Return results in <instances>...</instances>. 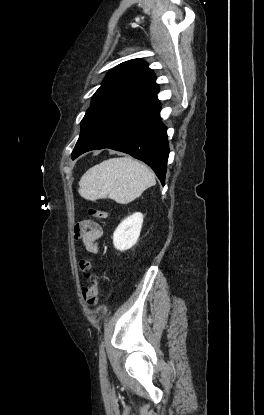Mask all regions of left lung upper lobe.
<instances>
[{
    "instance_id": "left-lung-upper-lobe-1",
    "label": "left lung upper lobe",
    "mask_w": 264,
    "mask_h": 415,
    "mask_svg": "<svg viewBox=\"0 0 264 415\" xmlns=\"http://www.w3.org/2000/svg\"><path fill=\"white\" fill-rule=\"evenodd\" d=\"M155 80L153 71L141 59L123 62L112 69L93 95L90 108L81 121V132L72 158L95 123L107 110L120 101L156 85Z\"/></svg>"
}]
</instances>
